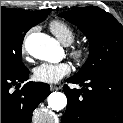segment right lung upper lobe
Segmentation results:
<instances>
[{"label":"right lung upper lobe","instance_id":"cb5924a9","mask_svg":"<svg viewBox=\"0 0 123 123\" xmlns=\"http://www.w3.org/2000/svg\"><path fill=\"white\" fill-rule=\"evenodd\" d=\"M20 10L22 13H27L29 11H26V10H21V9H18ZM51 11V9H43V10H39V11H34V13H39V14H49V12Z\"/></svg>","mask_w":123,"mask_h":123}]
</instances>
